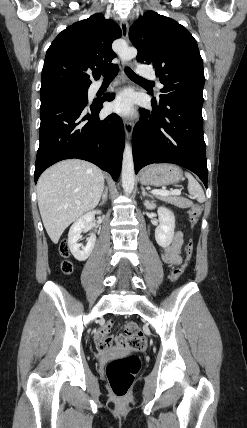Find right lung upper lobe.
Here are the masks:
<instances>
[{
  "label": "right lung upper lobe",
  "mask_w": 247,
  "mask_h": 428,
  "mask_svg": "<svg viewBox=\"0 0 247 428\" xmlns=\"http://www.w3.org/2000/svg\"><path fill=\"white\" fill-rule=\"evenodd\" d=\"M121 36L120 27L113 20H106L100 13L79 21L63 30L46 52L42 69L40 93L66 88L89 87L93 71L112 68L116 54L112 42Z\"/></svg>",
  "instance_id": "1"
}]
</instances>
